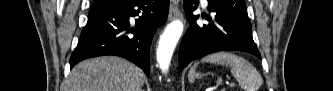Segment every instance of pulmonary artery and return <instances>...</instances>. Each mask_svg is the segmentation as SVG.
I'll list each match as a JSON object with an SVG mask.
<instances>
[{"label":"pulmonary artery","instance_id":"e3ab8cb5","mask_svg":"<svg viewBox=\"0 0 333 91\" xmlns=\"http://www.w3.org/2000/svg\"><path fill=\"white\" fill-rule=\"evenodd\" d=\"M204 5L206 6L207 5V1H203Z\"/></svg>","mask_w":333,"mask_h":91}]
</instances>
